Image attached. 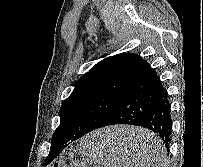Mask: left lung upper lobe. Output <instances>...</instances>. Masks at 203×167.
I'll return each mask as SVG.
<instances>
[{"label": "left lung upper lobe", "mask_w": 203, "mask_h": 167, "mask_svg": "<svg viewBox=\"0 0 203 167\" xmlns=\"http://www.w3.org/2000/svg\"><path fill=\"white\" fill-rule=\"evenodd\" d=\"M146 63L138 54H117L100 61L76 81L60 108V125L51 145L57 139L81 137L97 129Z\"/></svg>", "instance_id": "1"}]
</instances>
